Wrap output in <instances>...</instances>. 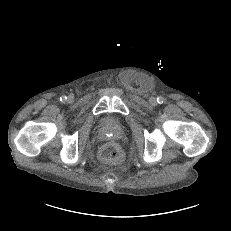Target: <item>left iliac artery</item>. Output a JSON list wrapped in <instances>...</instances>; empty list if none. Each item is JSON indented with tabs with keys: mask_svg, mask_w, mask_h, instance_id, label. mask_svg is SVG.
<instances>
[{
	"mask_svg": "<svg viewBox=\"0 0 231 231\" xmlns=\"http://www.w3.org/2000/svg\"><path fill=\"white\" fill-rule=\"evenodd\" d=\"M157 102L159 103V104H162L163 102H164V98L163 97H158L157 98Z\"/></svg>",
	"mask_w": 231,
	"mask_h": 231,
	"instance_id": "44dca946",
	"label": "left iliac artery"
}]
</instances>
